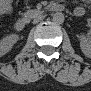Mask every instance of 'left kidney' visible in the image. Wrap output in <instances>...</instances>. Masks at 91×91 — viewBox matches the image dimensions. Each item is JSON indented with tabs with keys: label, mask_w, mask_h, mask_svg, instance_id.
<instances>
[{
	"label": "left kidney",
	"mask_w": 91,
	"mask_h": 91,
	"mask_svg": "<svg viewBox=\"0 0 91 91\" xmlns=\"http://www.w3.org/2000/svg\"><path fill=\"white\" fill-rule=\"evenodd\" d=\"M80 48L86 56L91 54V44L85 35L80 36Z\"/></svg>",
	"instance_id": "left-kidney-1"
}]
</instances>
